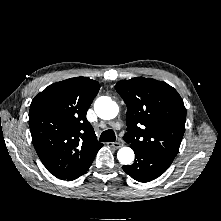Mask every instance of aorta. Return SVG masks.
I'll list each match as a JSON object with an SVG mask.
<instances>
[{"label":"aorta","instance_id":"1","mask_svg":"<svg viewBox=\"0 0 221 221\" xmlns=\"http://www.w3.org/2000/svg\"><path fill=\"white\" fill-rule=\"evenodd\" d=\"M94 110L98 117L104 120H110L118 115L119 107L110 97H99L94 103ZM117 158L123 165H130L134 160V152L129 147H122L117 152Z\"/></svg>","mask_w":221,"mask_h":221}]
</instances>
